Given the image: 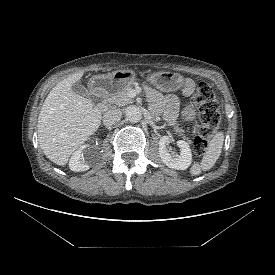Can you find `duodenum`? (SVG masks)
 I'll use <instances>...</instances> for the list:
<instances>
[{
    "label": "duodenum",
    "instance_id": "1",
    "mask_svg": "<svg viewBox=\"0 0 275 275\" xmlns=\"http://www.w3.org/2000/svg\"><path fill=\"white\" fill-rule=\"evenodd\" d=\"M96 96H97V98L99 99V108H100L102 111H106L107 108H108V103H107V100H106L105 95L103 94V92L97 91V92H96Z\"/></svg>",
    "mask_w": 275,
    "mask_h": 275
}]
</instances>
